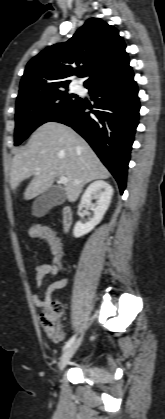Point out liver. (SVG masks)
I'll use <instances>...</instances> for the list:
<instances>
[{
	"label": "liver",
	"instance_id": "obj_1",
	"mask_svg": "<svg viewBox=\"0 0 165 419\" xmlns=\"http://www.w3.org/2000/svg\"><path fill=\"white\" fill-rule=\"evenodd\" d=\"M31 176L33 179L24 192L25 200L44 193L56 178L66 177L65 195L74 202L85 184L109 178L110 173L73 129L47 122L31 135L26 148L14 156L10 172L12 190L15 192L20 183Z\"/></svg>",
	"mask_w": 165,
	"mask_h": 419
}]
</instances>
